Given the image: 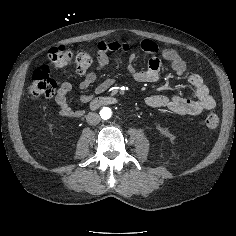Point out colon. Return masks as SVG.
<instances>
[{
    "label": "colon",
    "instance_id": "colon-1",
    "mask_svg": "<svg viewBox=\"0 0 236 236\" xmlns=\"http://www.w3.org/2000/svg\"><path fill=\"white\" fill-rule=\"evenodd\" d=\"M49 58L58 67H65L74 63L79 74L85 73L92 64V56L86 51H75L68 46L53 47L49 50ZM58 86L57 80L51 76L47 66L37 68L29 83V93L34 98H48L54 95ZM219 117L210 112L205 116L204 122L208 128H216L219 125Z\"/></svg>",
    "mask_w": 236,
    "mask_h": 236
}]
</instances>
